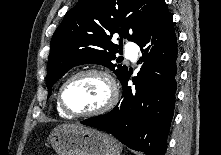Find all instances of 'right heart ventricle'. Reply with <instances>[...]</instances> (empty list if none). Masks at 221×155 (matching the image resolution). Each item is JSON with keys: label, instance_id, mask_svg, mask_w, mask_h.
Listing matches in <instances>:
<instances>
[{"label": "right heart ventricle", "instance_id": "1", "mask_svg": "<svg viewBox=\"0 0 221 155\" xmlns=\"http://www.w3.org/2000/svg\"><path fill=\"white\" fill-rule=\"evenodd\" d=\"M57 111L60 115L65 116V117H69L59 106L58 101H57Z\"/></svg>", "mask_w": 221, "mask_h": 155}]
</instances>
